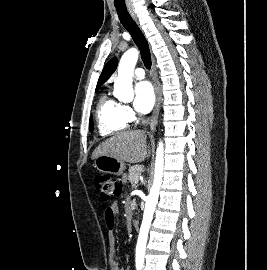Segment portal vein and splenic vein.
Listing matches in <instances>:
<instances>
[{
    "label": "portal vein and splenic vein",
    "mask_w": 267,
    "mask_h": 270,
    "mask_svg": "<svg viewBox=\"0 0 267 270\" xmlns=\"http://www.w3.org/2000/svg\"><path fill=\"white\" fill-rule=\"evenodd\" d=\"M138 181H139V179H138V178H136L135 182H138Z\"/></svg>",
    "instance_id": "18ae733b"
}]
</instances>
